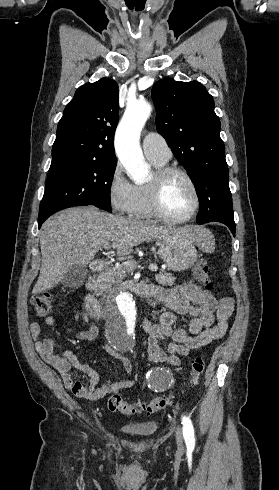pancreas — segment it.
<instances>
[{
  "label": "pancreas",
  "mask_w": 279,
  "mask_h": 490,
  "mask_svg": "<svg viewBox=\"0 0 279 490\" xmlns=\"http://www.w3.org/2000/svg\"><path fill=\"white\" fill-rule=\"evenodd\" d=\"M135 268L136 264H132V266L120 264L118 268H108V270H105V274L99 276L95 284L100 292L111 290L113 284H121L122 280H124L128 274L134 272ZM155 280L158 284H162V286H173L175 282V278H173L172 274H169V272L155 274Z\"/></svg>",
  "instance_id": "obj_1"
}]
</instances>
